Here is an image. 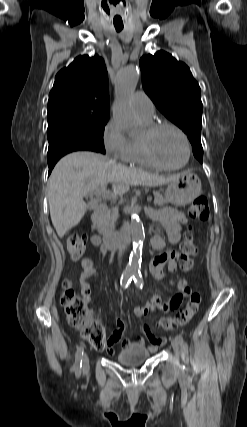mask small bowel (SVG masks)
Returning a JSON list of instances; mask_svg holds the SVG:
<instances>
[{"instance_id":"c3829d8e","label":"small bowel","mask_w":247,"mask_h":427,"mask_svg":"<svg viewBox=\"0 0 247 427\" xmlns=\"http://www.w3.org/2000/svg\"><path fill=\"white\" fill-rule=\"evenodd\" d=\"M151 216L156 224L161 225L167 233V241L170 244L178 243L182 238V228L187 224L188 220L183 213L177 212L172 209H159L153 211ZM91 242L94 246H100V241L98 236H93ZM151 244L155 250H163L166 246V241L159 236L154 234L151 239ZM107 250L102 249L103 256L106 255ZM179 255L176 251L169 250L163 252L156 256L151 264L150 271L153 277L156 280H164V266H167L170 272H175L177 270V260ZM83 271L80 275V287L81 293L87 303H92L91 298V284L90 279L97 276L98 272L94 266V261L91 258H84L81 262ZM171 285H174L177 289V294L172 298L171 301H163L159 296H153L149 301L144 304L137 305L134 308V313L137 316H146L151 312H168L171 309H176L182 303V300L190 293V289L185 280L179 281H169ZM99 322V321H98ZM100 323V322H99ZM125 332V323L122 318L117 317L116 319V329L113 331L112 335L108 339V347L106 351L109 354H114L116 350V345L122 341L124 346H145V339L149 341L148 349L151 352L157 351L161 346L166 343L165 337L155 336L151 328L144 324L141 327L142 335L137 337V340L131 342L130 340L124 338Z\"/></svg>"}]
</instances>
